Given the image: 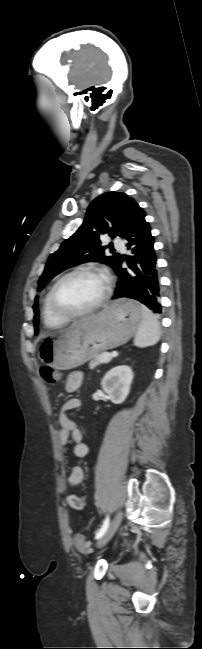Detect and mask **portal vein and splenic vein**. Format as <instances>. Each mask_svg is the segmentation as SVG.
Wrapping results in <instances>:
<instances>
[{
	"mask_svg": "<svg viewBox=\"0 0 202 649\" xmlns=\"http://www.w3.org/2000/svg\"><path fill=\"white\" fill-rule=\"evenodd\" d=\"M111 354L110 353H102L101 354V360L103 363H108L111 361Z\"/></svg>",
	"mask_w": 202,
	"mask_h": 649,
	"instance_id": "portal-vein-and-splenic-vein-1",
	"label": "portal vein and splenic vein"
}]
</instances>
